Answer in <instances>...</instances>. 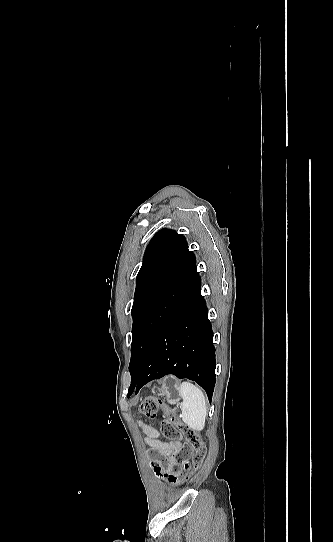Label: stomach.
Returning a JSON list of instances; mask_svg holds the SVG:
<instances>
[{
	"mask_svg": "<svg viewBox=\"0 0 333 542\" xmlns=\"http://www.w3.org/2000/svg\"><path fill=\"white\" fill-rule=\"evenodd\" d=\"M180 382L174 376H166L162 382L161 388H157L155 392H158V396H165L168 404L174 406V404H179L181 400L180 392Z\"/></svg>",
	"mask_w": 333,
	"mask_h": 542,
	"instance_id": "1",
	"label": "stomach"
}]
</instances>
